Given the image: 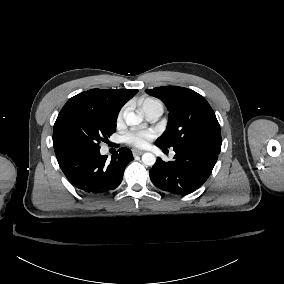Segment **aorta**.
<instances>
[{
    "mask_svg": "<svg viewBox=\"0 0 284 284\" xmlns=\"http://www.w3.org/2000/svg\"><path fill=\"white\" fill-rule=\"evenodd\" d=\"M124 118H125L126 124L129 126L138 125L143 121V116L141 114H136L134 112L125 113ZM142 162L145 165L152 166L155 164L156 158L154 154L147 152L142 155Z\"/></svg>",
    "mask_w": 284,
    "mask_h": 284,
    "instance_id": "obj_1",
    "label": "aorta"
}]
</instances>
